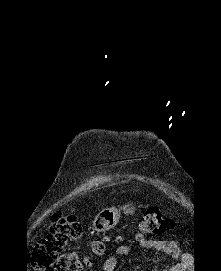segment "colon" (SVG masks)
Returning a JSON list of instances; mask_svg holds the SVG:
<instances>
[{
	"instance_id": "obj_1",
	"label": "colon",
	"mask_w": 221,
	"mask_h": 271,
	"mask_svg": "<svg viewBox=\"0 0 221 271\" xmlns=\"http://www.w3.org/2000/svg\"><path fill=\"white\" fill-rule=\"evenodd\" d=\"M173 223L157 208H149L138 221V233L142 236L163 234ZM83 228L75 215L54 214L50 232L35 246L32 264L37 271H84L92 267L91 258L79 259L68 243L81 237ZM90 254L100 256L104 250L102 241L90 243Z\"/></svg>"
}]
</instances>
